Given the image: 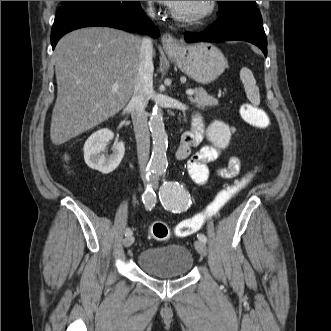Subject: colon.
<instances>
[{
	"mask_svg": "<svg viewBox=\"0 0 331 331\" xmlns=\"http://www.w3.org/2000/svg\"><path fill=\"white\" fill-rule=\"evenodd\" d=\"M241 113L243 119L256 128L264 129L270 124L268 114L254 105H244L241 109ZM249 181L250 176H243L226 186L203 212L180 222L175 230L176 235L186 237L196 232L206 220L218 215L227 203L240 192ZM150 234L156 240H165L169 236V228L163 222H155L150 228Z\"/></svg>",
	"mask_w": 331,
	"mask_h": 331,
	"instance_id": "5ec220e1",
	"label": "colon"
}]
</instances>
